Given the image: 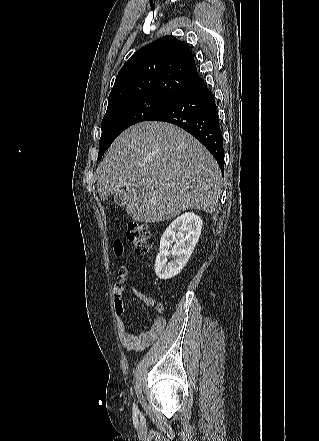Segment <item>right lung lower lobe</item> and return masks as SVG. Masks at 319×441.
Wrapping results in <instances>:
<instances>
[{
	"mask_svg": "<svg viewBox=\"0 0 319 441\" xmlns=\"http://www.w3.org/2000/svg\"><path fill=\"white\" fill-rule=\"evenodd\" d=\"M148 121L175 124L198 139L217 160L223 170V136L214 95L202 78L186 86L166 107Z\"/></svg>",
	"mask_w": 319,
	"mask_h": 441,
	"instance_id": "1",
	"label": "right lung lower lobe"
}]
</instances>
